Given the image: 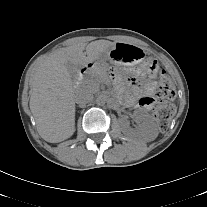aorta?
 Instances as JSON below:
<instances>
[{
  "label": "aorta",
  "instance_id": "aorta-1",
  "mask_svg": "<svg viewBox=\"0 0 207 207\" xmlns=\"http://www.w3.org/2000/svg\"><path fill=\"white\" fill-rule=\"evenodd\" d=\"M107 100H108L107 95H105V94H99L96 97V104L97 105H100V106L105 105V103L107 102Z\"/></svg>",
  "mask_w": 207,
  "mask_h": 207
}]
</instances>
